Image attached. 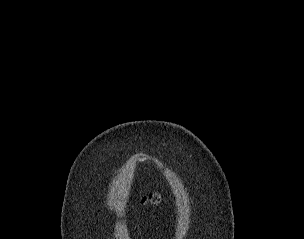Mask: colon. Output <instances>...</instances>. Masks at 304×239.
<instances>
[{"label":"colon","instance_id":"5ec220e1","mask_svg":"<svg viewBox=\"0 0 304 239\" xmlns=\"http://www.w3.org/2000/svg\"><path fill=\"white\" fill-rule=\"evenodd\" d=\"M162 201V196L160 194H150L142 198V204H159Z\"/></svg>","mask_w":304,"mask_h":239}]
</instances>
